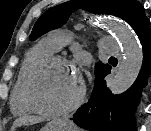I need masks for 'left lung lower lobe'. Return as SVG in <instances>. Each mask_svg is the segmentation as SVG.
<instances>
[{"label":"left lung lower lobe","instance_id":"0a47b994","mask_svg":"<svg viewBox=\"0 0 151 131\" xmlns=\"http://www.w3.org/2000/svg\"><path fill=\"white\" fill-rule=\"evenodd\" d=\"M131 27L138 35L143 48V66L134 84L124 93L113 95L106 86L105 77L110 73L109 65L95 78L94 89L87 103L73 116L79 127L90 131H135L134 112L142 88L151 73V31L150 21L141 7Z\"/></svg>","mask_w":151,"mask_h":131}]
</instances>
